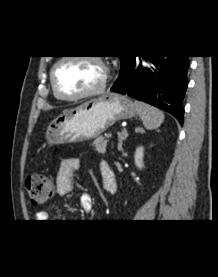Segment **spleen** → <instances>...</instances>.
<instances>
[{"label":"spleen","instance_id":"obj_1","mask_svg":"<svg viewBox=\"0 0 218 277\" xmlns=\"http://www.w3.org/2000/svg\"><path fill=\"white\" fill-rule=\"evenodd\" d=\"M134 106L146 129H156L163 123L165 117L160 110L137 100L134 101Z\"/></svg>","mask_w":218,"mask_h":277}]
</instances>
